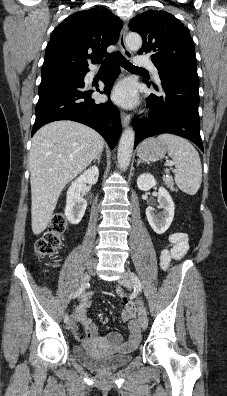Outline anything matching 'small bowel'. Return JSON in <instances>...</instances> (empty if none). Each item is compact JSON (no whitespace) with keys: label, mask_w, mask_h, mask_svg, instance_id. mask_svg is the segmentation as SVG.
<instances>
[{"label":"small bowel","mask_w":227,"mask_h":396,"mask_svg":"<svg viewBox=\"0 0 227 396\" xmlns=\"http://www.w3.org/2000/svg\"><path fill=\"white\" fill-rule=\"evenodd\" d=\"M189 248L188 236L182 232H174L169 236V244L161 252L160 265L166 269L173 260H180L187 253ZM118 296L123 297V291L117 289ZM92 304V295L85 294L80 298V303L75 309L74 335L79 341H91L98 344H113L119 346H134L140 340V329L136 319H134V306L131 302L125 303L121 317L124 321L129 322V336L126 342H123L121 334L113 332L107 336H101L99 327L88 316L87 311ZM85 328V332H78L76 324Z\"/></svg>","instance_id":"obj_1"}]
</instances>
